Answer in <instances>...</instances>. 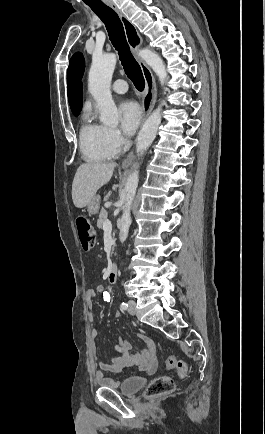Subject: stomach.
<instances>
[{
	"label": "stomach",
	"mask_w": 265,
	"mask_h": 434,
	"mask_svg": "<svg viewBox=\"0 0 265 434\" xmlns=\"http://www.w3.org/2000/svg\"><path fill=\"white\" fill-rule=\"evenodd\" d=\"M100 200V196H93L92 200H90L88 204L89 214H97L100 206Z\"/></svg>",
	"instance_id": "1"
}]
</instances>
